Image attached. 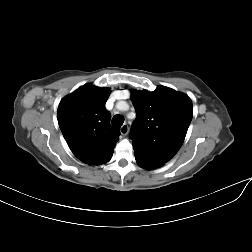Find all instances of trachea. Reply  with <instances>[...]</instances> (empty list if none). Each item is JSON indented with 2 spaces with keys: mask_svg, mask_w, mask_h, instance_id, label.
I'll list each match as a JSON object with an SVG mask.
<instances>
[{
  "mask_svg": "<svg viewBox=\"0 0 252 252\" xmlns=\"http://www.w3.org/2000/svg\"><path fill=\"white\" fill-rule=\"evenodd\" d=\"M112 124L117 126V127H121L123 122H124V117L122 115H115L112 118Z\"/></svg>",
  "mask_w": 252,
  "mask_h": 252,
  "instance_id": "trachea-1",
  "label": "trachea"
}]
</instances>
